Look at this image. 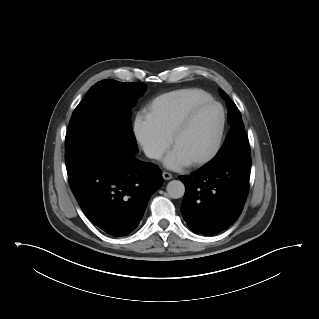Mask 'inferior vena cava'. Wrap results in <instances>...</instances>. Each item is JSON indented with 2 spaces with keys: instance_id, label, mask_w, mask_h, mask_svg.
I'll return each instance as SVG.
<instances>
[{
  "instance_id": "602c4592",
  "label": "inferior vena cava",
  "mask_w": 319,
  "mask_h": 319,
  "mask_svg": "<svg viewBox=\"0 0 319 319\" xmlns=\"http://www.w3.org/2000/svg\"><path fill=\"white\" fill-rule=\"evenodd\" d=\"M144 153L148 158L151 159H159L162 156V154L159 151L151 148H145Z\"/></svg>"
}]
</instances>
